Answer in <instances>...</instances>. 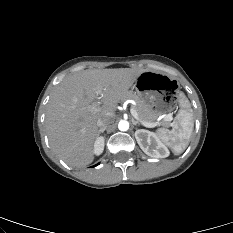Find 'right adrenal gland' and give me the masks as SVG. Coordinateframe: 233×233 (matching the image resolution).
Listing matches in <instances>:
<instances>
[{"mask_svg":"<svg viewBox=\"0 0 233 233\" xmlns=\"http://www.w3.org/2000/svg\"><path fill=\"white\" fill-rule=\"evenodd\" d=\"M104 131H105V128H101V129L99 130V133H104Z\"/></svg>","mask_w":233,"mask_h":233,"instance_id":"1","label":"right adrenal gland"}]
</instances>
